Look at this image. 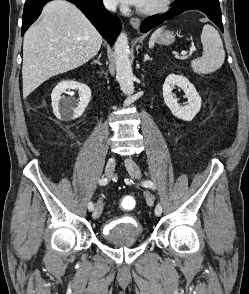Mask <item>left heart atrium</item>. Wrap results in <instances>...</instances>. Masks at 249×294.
Listing matches in <instances>:
<instances>
[{
    "label": "left heart atrium",
    "instance_id": "left-heart-atrium-1",
    "mask_svg": "<svg viewBox=\"0 0 249 294\" xmlns=\"http://www.w3.org/2000/svg\"><path fill=\"white\" fill-rule=\"evenodd\" d=\"M119 1H121L124 4L135 5L138 7H141L144 2V0H119Z\"/></svg>",
    "mask_w": 249,
    "mask_h": 294
}]
</instances>
